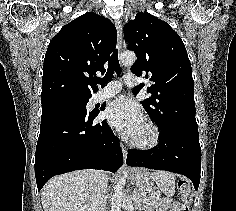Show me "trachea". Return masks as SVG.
Instances as JSON below:
<instances>
[{
	"mask_svg": "<svg viewBox=\"0 0 236 211\" xmlns=\"http://www.w3.org/2000/svg\"><path fill=\"white\" fill-rule=\"evenodd\" d=\"M114 72L119 76L121 74V68L118 60V51L114 50L108 61V69L104 78L95 79L96 84H100L103 88L107 82L112 80Z\"/></svg>",
	"mask_w": 236,
	"mask_h": 211,
	"instance_id": "1",
	"label": "trachea"
}]
</instances>
